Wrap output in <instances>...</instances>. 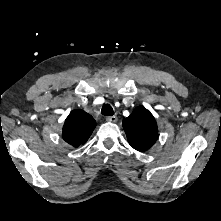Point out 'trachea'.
I'll return each instance as SVG.
<instances>
[{"label":"trachea","instance_id":"trachea-1","mask_svg":"<svg viewBox=\"0 0 221 221\" xmlns=\"http://www.w3.org/2000/svg\"><path fill=\"white\" fill-rule=\"evenodd\" d=\"M101 113H102L104 116H112V115L114 114V111H113V108H112L111 105L105 104V105L102 107Z\"/></svg>","mask_w":221,"mask_h":221}]
</instances>
